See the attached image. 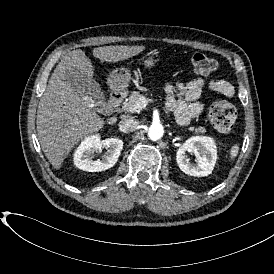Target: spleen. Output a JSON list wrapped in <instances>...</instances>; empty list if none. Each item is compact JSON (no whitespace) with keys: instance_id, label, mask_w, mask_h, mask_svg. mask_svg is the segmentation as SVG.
Returning a JSON list of instances; mask_svg holds the SVG:
<instances>
[{"instance_id":"3e777b00","label":"spleen","mask_w":274,"mask_h":274,"mask_svg":"<svg viewBox=\"0 0 274 274\" xmlns=\"http://www.w3.org/2000/svg\"><path fill=\"white\" fill-rule=\"evenodd\" d=\"M240 151V143H233L229 149L228 157L230 160H234Z\"/></svg>"}]
</instances>
